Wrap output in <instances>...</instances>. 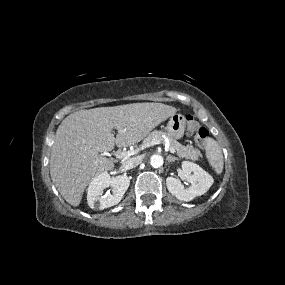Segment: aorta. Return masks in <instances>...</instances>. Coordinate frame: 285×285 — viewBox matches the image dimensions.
Segmentation results:
<instances>
[{
  "label": "aorta",
  "instance_id": "1",
  "mask_svg": "<svg viewBox=\"0 0 285 285\" xmlns=\"http://www.w3.org/2000/svg\"><path fill=\"white\" fill-rule=\"evenodd\" d=\"M163 157L159 154H154L150 157V164L154 168H160L163 165Z\"/></svg>",
  "mask_w": 285,
  "mask_h": 285
}]
</instances>
